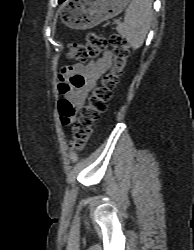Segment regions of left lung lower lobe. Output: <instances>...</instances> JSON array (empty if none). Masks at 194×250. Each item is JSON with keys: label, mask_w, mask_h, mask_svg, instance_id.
Returning a JSON list of instances; mask_svg holds the SVG:
<instances>
[{"label": "left lung lower lobe", "mask_w": 194, "mask_h": 250, "mask_svg": "<svg viewBox=\"0 0 194 250\" xmlns=\"http://www.w3.org/2000/svg\"><path fill=\"white\" fill-rule=\"evenodd\" d=\"M65 0H59V3H62V2H64Z\"/></svg>", "instance_id": "1"}]
</instances>
